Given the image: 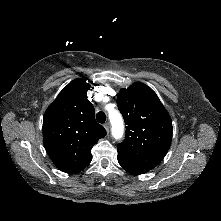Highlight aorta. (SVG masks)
I'll return each instance as SVG.
<instances>
[{"mask_svg":"<svg viewBox=\"0 0 221 221\" xmlns=\"http://www.w3.org/2000/svg\"><path fill=\"white\" fill-rule=\"evenodd\" d=\"M109 119L112 124V135L115 139H120L124 133V124L122 116L118 111H111Z\"/></svg>","mask_w":221,"mask_h":221,"instance_id":"aorta-1","label":"aorta"}]
</instances>
